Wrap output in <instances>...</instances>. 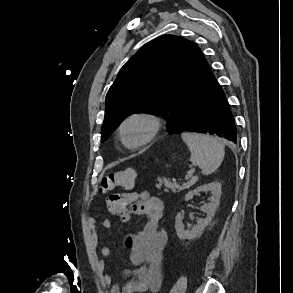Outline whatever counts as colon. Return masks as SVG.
<instances>
[{
	"label": "colon",
	"mask_w": 293,
	"mask_h": 293,
	"mask_svg": "<svg viewBox=\"0 0 293 293\" xmlns=\"http://www.w3.org/2000/svg\"><path fill=\"white\" fill-rule=\"evenodd\" d=\"M136 172L133 169L115 170L108 173L101 182V191L108 192L116 188L131 189L134 186Z\"/></svg>",
	"instance_id": "5ec220e1"
}]
</instances>
